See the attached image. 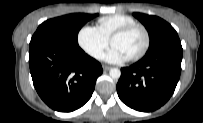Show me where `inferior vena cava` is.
I'll use <instances>...</instances> for the list:
<instances>
[{"mask_svg": "<svg viewBox=\"0 0 203 123\" xmlns=\"http://www.w3.org/2000/svg\"><path fill=\"white\" fill-rule=\"evenodd\" d=\"M103 55H104V54H103L102 52H100V53H98V54L96 55V57L99 58V59H101V58L103 57Z\"/></svg>", "mask_w": 203, "mask_h": 123, "instance_id": "602c4592", "label": "inferior vena cava"}]
</instances>
